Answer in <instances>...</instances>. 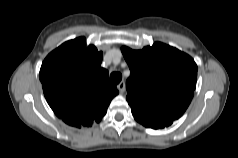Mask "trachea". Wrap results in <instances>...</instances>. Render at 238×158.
<instances>
[{"instance_id": "obj_1", "label": "trachea", "mask_w": 238, "mask_h": 158, "mask_svg": "<svg viewBox=\"0 0 238 158\" xmlns=\"http://www.w3.org/2000/svg\"><path fill=\"white\" fill-rule=\"evenodd\" d=\"M110 79H111L112 83L118 84L122 80V75L119 72H113L110 75Z\"/></svg>"}]
</instances>
